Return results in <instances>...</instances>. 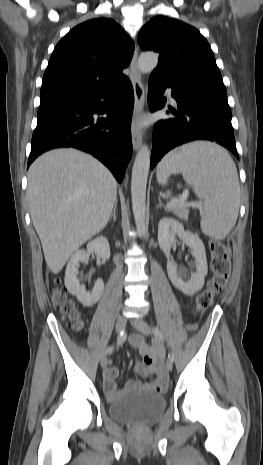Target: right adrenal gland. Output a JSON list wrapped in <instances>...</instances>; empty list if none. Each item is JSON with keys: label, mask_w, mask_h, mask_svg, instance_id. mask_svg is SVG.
<instances>
[{"label": "right adrenal gland", "mask_w": 263, "mask_h": 465, "mask_svg": "<svg viewBox=\"0 0 263 465\" xmlns=\"http://www.w3.org/2000/svg\"><path fill=\"white\" fill-rule=\"evenodd\" d=\"M116 207H117V202H115V205H114V208H113V211L109 217V221H111V219L113 218L114 222H116Z\"/></svg>", "instance_id": "2a0ac1e0"}]
</instances>
